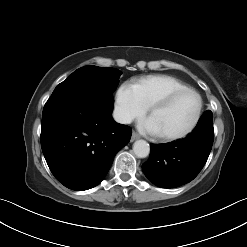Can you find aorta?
Returning a JSON list of instances; mask_svg holds the SVG:
<instances>
[{
  "label": "aorta",
  "instance_id": "obj_1",
  "mask_svg": "<svg viewBox=\"0 0 247 247\" xmlns=\"http://www.w3.org/2000/svg\"><path fill=\"white\" fill-rule=\"evenodd\" d=\"M133 151L137 157L146 158L150 153V147L145 140H137L133 144Z\"/></svg>",
  "mask_w": 247,
  "mask_h": 247
}]
</instances>
